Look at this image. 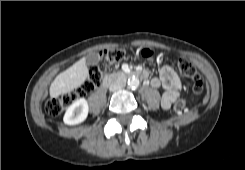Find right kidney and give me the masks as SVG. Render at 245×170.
Returning a JSON list of instances; mask_svg holds the SVG:
<instances>
[{
    "label": "right kidney",
    "instance_id": "1",
    "mask_svg": "<svg viewBox=\"0 0 245 170\" xmlns=\"http://www.w3.org/2000/svg\"><path fill=\"white\" fill-rule=\"evenodd\" d=\"M88 103L84 98L73 102L66 110L63 121L67 125H76L83 121L88 116Z\"/></svg>",
    "mask_w": 245,
    "mask_h": 170
}]
</instances>
